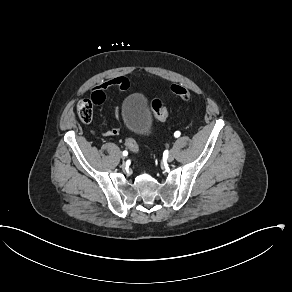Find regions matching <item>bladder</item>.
<instances>
[{
	"mask_svg": "<svg viewBox=\"0 0 292 292\" xmlns=\"http://www.w3.org/2000/svg\"><path fill=\"white\" fill-rule=\"evenodd\" d=\"M122 115L127 128L135 134L147 135L151 131V118L141 95L135 94L127 98Z\"/></svg>",
	"mask_w": 292,
	"mask_h": 292,
	"instance_id": "1",
	"label": "bladder"
}]
</instances>
